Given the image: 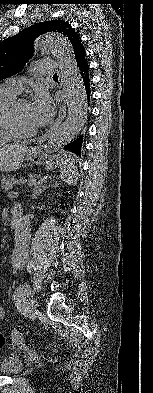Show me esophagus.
<instances>
[{
  "mask_svg": "<svg viewBox=\"0 0 153 393\" xmlns=\"http://www.w3.org/2000/svg\"><path fill=\"white\" fill-rule=\"evenodd\" d=\"M65 116H66V104L62 103L60 105V110H59V113H58V117H57L55 123L53 124V127L60 125L61 122L63 121V119L65 118Z\"/></svg>",
  "mask_w": 153,
  "mask_h": 393,
  "instance_id": "obj_1",
  "label": "esophagus"
}]
</instances>
